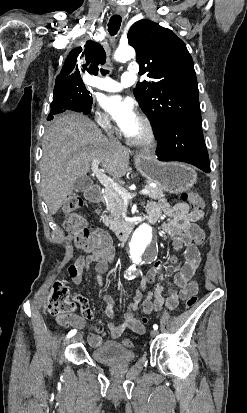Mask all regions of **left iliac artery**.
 Returning <instances> with one entry per match:
<instances>
[{
  "mask_svg": "<svg viewBox=\"0 0 247 413\" xmlns=\"http://www.w3.org/2000/svg\"><path fill=\"white\" fill-rule=\"evenodd\" d=\"M153 328H154V330H157V329H158V325H157V324H154V325H153Z\"/></svg>",
  "mask_w": 247,
  "mask_h": 413,
  "instance_id": "1",
  "label": "left iliac artery"
}]
</instances>
